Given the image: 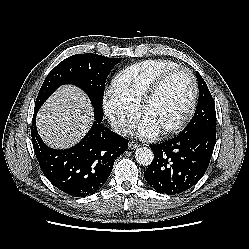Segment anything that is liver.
<instances>
[{"instance_id":"6515ba94","label":"liver","mask_w":249,"mask_h":249,"mask_svg":"<svg viewBox=\"0 0 249 249\" xmlns=\"http://www.w3.org/2000/svg\"><path fill=\"white\" fill-rule=\"evenodd\" d=\"M93 109L86 94L72 85L60 87L37 115V128L51 147L64 149L77 143L93 121Z\"/></svg>"}]
</instances>
